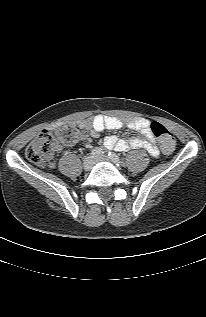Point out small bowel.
I'll use <instances>...</instances> for the list:
<instances>
[{"label": "small bowel", "instance_id": "1", "mask_svg": "<svg viewBox=\"0 0 206 317\" xmlns=\"http://www.w3.org/2000/svg\"><path fill=\"white\" fill-rule=\"evenodd\" d=\"M72 127L88 130L92 137H98L99 133L104 130H117L127 127L140 132L144 137L119 139L114 135H110L105 138L104 145L109 149H115L120 152L141 148L152 156L159 154V149L154 142L153 134L150 129V122L145 118H136L124 123L116 117L96 115L93 118L73 122ZM62 147V144H56L55 149L61 150Z\"/></svg>", "mask_w": 206, "mask_h": 317}]
</instances>
